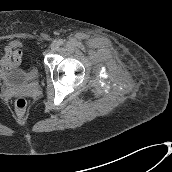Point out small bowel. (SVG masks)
Instances as JSON below:
<instances>
[{
	"label": "small bowel",
	"instance_id": "c3829d8e",
	"mask_svg": "<svg viewBox=\"0 0 172 172\" xmlns=\"http://www.w3.org/2000/svg\"><path fill=\"white\" fill-rule=\"evenodd\" d=\"M22 52L19 46L12 42L0 51V71H11L21 62Z\"/></svg>",
	"mask_w": 172,
	"mask_h": 172
}]
</instances>
